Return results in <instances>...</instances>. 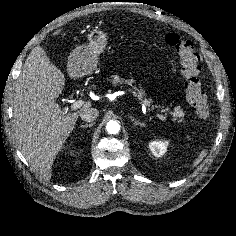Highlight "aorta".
I'll use <instances>...</instances> for the list:
<instances>
[{"instance_id": "1", "label": "aorta", "mask_w": 236, "mask_h": 236, "mask_svg": "<svg viewBox=\"0 0 236 236\" xmlns=\"http://www.w3.org/2000/svg\"><path fill=\"white\" fill-rule=\"evenodd\" d=\"M109 134H117L120 131V125L117 121L110 120L106 125Z\"/></svg>"}]
</instances>
